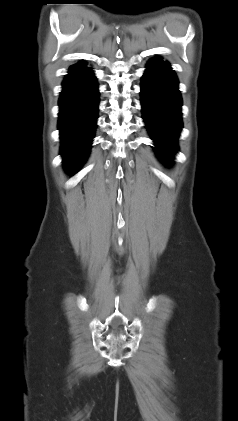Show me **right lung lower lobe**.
<instances>
[{
  "label": "right lung lower lobe",
  "instance_id": "98d812e1",
  "mask_svg": "<svg viewBox=\"0 0 238 421\" xmlns=\"http://www.w3.org/2000/svg\"><path fill=\"white\" fill-rule=\"evenodd\" d=\"M99 93L96 77L84 62L71 66L63 82L59 99L60 130L63 162L70 172L85 162L94 136Z\"/></svg>",
  "mask_w": 238,
  "mask_h": 421
}]
</instances>
